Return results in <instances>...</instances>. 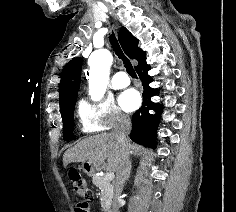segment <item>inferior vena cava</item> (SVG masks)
<instances>
[{
  "label": "inferior vena cava",
  "mask_w": 236,
  "mask_h": 212,
  "mask_svg": "<svg viewBox=\"0 0 236 212\" xmlns=\"http://www.w3.org/2000/svg\"><path fill=\"white\" fill-rule=\"evenodd\" d=\"M131 131L130 118L126 115H119L117 123L113 130V135L121 145V160L116 171V177L114 180V207L117 209L121 202V192L125 181L129 177V150H128V135Z\"/></svg>",
  "instance_id": "obj_1"
}]
</instances>
